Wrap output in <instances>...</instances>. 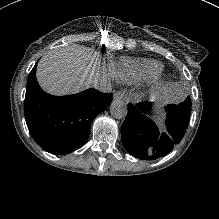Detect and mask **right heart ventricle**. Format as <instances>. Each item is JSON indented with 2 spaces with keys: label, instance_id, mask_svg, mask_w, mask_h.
I'll return each instance as SVG.
<instances>
[{
  "label": "right heart ventricle",
  "instance_id": "e07e8e85",
  "mask_svg": "<svg viewBox=\"0 0 219 219\" xmlns=\"http://www.w3.org/2000/svg\"><path fill=\"white\" fill-rule=\"evenodd\" d=\"M162 69L163 65L156 60L126 58L118 63L116 72L125 83L136 85L149 82Z\"/></svg>",
  "mask_w": 219,
  "mask_h": 219
}]
</instances>
